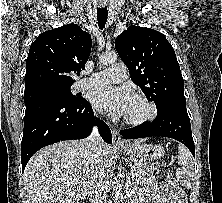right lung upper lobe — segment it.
<instances>
[{"label": "right lung upper lobe", "mask_w": 222, "mask_h": 203, "mask_svg": "<svg viewBox=\"0 0 222 203\" xmlns=\"http://www.w3.org/2000/svg\"><path fill=\"white\" fill-rule=\"evenodd\" d=\"M90 52L91 36L74 23L40 34L26 60L24 93L71 86L70 73L85 68Z\"/></svg>", "instance_id": "1"}]
</instances>
